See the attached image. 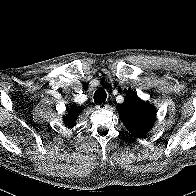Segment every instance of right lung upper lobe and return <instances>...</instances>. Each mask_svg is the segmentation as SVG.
<instances>
[{
	"instance_id": "1",
	"label": "right lung upper lobe",
	"mask_w": 196,
	"mask_h": 196,
	"mask_svg": "<svg viewBox=\"0 0 196 196\" xmlns=\"http://www.w3.org/2000/svg\"><path fill=\"white\" fill-rule=\"evenodd\" d=\"M69 113V117L67 116L66 118H64L65 124H70L71 122V116L74 117V115L71 113V111H68Z\"/></svg>"
}]
</instances>
